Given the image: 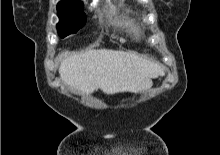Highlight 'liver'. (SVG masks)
<instances>
[{
    "label": "liver",
    "instance_id": "liver-1",
    "mask_svg": "<svg viewBox=\"0 0 220 155\" xmlns=\"http://www.w3.org/2000/svg\"><path fill=\"white\" fill-rule=\"evenodd\" d=\"M62 81L80 94L101 89L106 94L140 92L152 86L163 67L131 52L93 49L74 53L59 67Z\"/></svg>",
    "mask_w": 220,
    "mask_h": 155
}]
</instances>
